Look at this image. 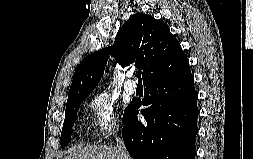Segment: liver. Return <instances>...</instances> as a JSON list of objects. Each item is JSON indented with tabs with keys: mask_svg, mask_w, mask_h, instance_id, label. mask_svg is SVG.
<instances>
[{
	"mask_svg": "<svg viewBox=\"0 0 253 159\" xmlns=\"http://www.w3.org/2000/svg\"><path fill=\"white\" fill-rule=\"evenodd\" d=\"M64 159H119L116 147L112 146H78Z\"/></svg>",
	"mask_w": 253,
	"mask_h": 159,
	"instance_id": "6515ba94",
	"label": "liver"
}]
</instances>
